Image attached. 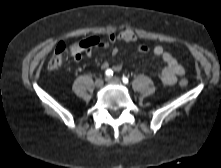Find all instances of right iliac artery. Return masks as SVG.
Here are the masks:
<instances>
[{"mask_svg":"<svg viewBox=\"0 0 221 168\" xmlns=\"http://www.w3.org/2000/svg\"><path fill=\"white\" fill-rule=\"evenodd\" d=\"M105 75L108 76V77H111L113 75V71L111 69H107L105 71Z\"/></svg>","mask_w":221,"mask_h":168,"instance_id":"1","label":"right iliac artery"}]
</instances>
